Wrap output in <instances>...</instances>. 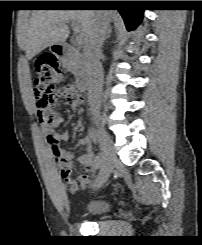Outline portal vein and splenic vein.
<instances>
[{"label":"portal vein and splenic vein","mask_w":202,"mask_h":245,"mask_svg":"<svg viewBox=\"0 0 202 245\" xmlns=\"http://www.w3.org/2000/svg\"><path fill=\"white\" fill-rule=\"evenodd\" d=\"M72 28L76 34V43L81 45L84 42V36L79 30V26L76 22H72Z\"/></svg>","instance_id":"portal-vein-and-splenic-vein-1"}]
</instances>
